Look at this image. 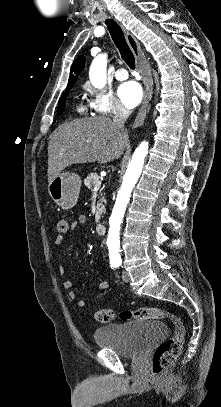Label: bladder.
Returning a JSON list of instances; mask_svg holds the SVG:
<instances>
[{
  "label": "bladder",
  "mask_w": 221,
  "mask_h": 407,
  "mask_svg": "<svg viewBox=\"0 0 221 407\" xmlns=\"http://www.w3.org/2000/svg\"><path fill=\"white\" fill-rule=\"evenodd\" d=\"M166 334L167 326L164 322L137 321L97 327L94 331V340L97 346L113 349L121 357L137 358L156 339Z\"/></svg>",
  "instance_id": "31cf9c89"
}]
</instances>
